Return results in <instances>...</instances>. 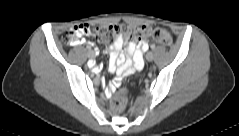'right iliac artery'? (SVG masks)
Wrapping results in <instances>:
<instances>
[{"mask_svg":"<svg viewBox=\"0 0 239 136\" xmlns=\"http://www.w3.org/2000/svg\"><path fill=\"white\" fill-rule=\"evenodd\" d=\"M85 49L90 53L92 50H91V47H88V46H85Z\"/></svg>","mask_w":239,"mask_h":136,"instance_id":"obj_1","label":"right iliac artery"}]
</instances>
